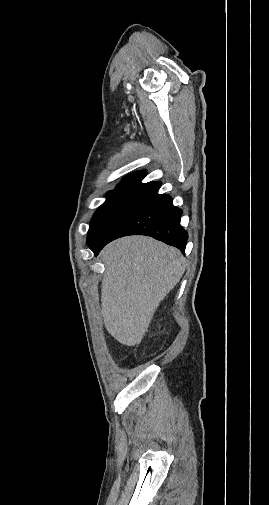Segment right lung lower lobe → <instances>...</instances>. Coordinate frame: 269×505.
I'll return each mask as SVG.
<instances>
[{
  "label": "right lung lower lobe",
  "mask_w": 269,
  "mask_h": 505,
  "mask_svg": "<svg viewBox=\"0 0 269 505\" xmlns=\"http://www.w3.org/2000/svg\"><path fill=\"white\" fill-rule=\"evenodd\" d=\"M161 182H151L138 191L117 213L90 249L97 256L110 241L127 235H147L185 251L187 231L180 225L182 210L172 198L158 194Z\"/></svg>",
  "instance_id": "right-lung-lower-lobe-1"
}]
</instances>
